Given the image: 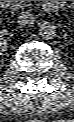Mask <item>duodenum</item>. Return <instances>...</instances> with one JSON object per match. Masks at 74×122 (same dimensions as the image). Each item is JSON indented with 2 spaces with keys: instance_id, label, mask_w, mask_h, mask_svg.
<instances>
[{
  "instance_id": "410a0bca",
  "label": "duodenum",
  "mask_w": 74,
  "mask_h": 122,
  "mask_svg": "<svg viewBox=\"0 0 74 122\" xmlns=\"http://www.w3.org/2000/svg\"><path fill=\"white\" fill-rule=\"evenodd\" d=\"M14 2L15 1H2L6 7L15 6ZM42 7L45 12H54L60 7V1H43Z\"/></svg>"
}]
</instances>
